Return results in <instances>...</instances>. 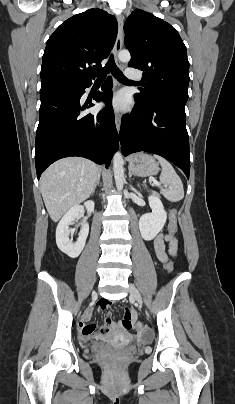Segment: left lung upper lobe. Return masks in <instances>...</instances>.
<instances>
[{
  "instance_id": "1",
  "label": "left lung upper lobe",
  "mask_w": 235,
  "mask_h": 404,
  "mask_svg": "<svg viewBox=\"0 0 235 404\" xmlns=\"http://www.w3.org/2000/svg\"><path fill=\"white\" fill-rule=\"evenodd\" d=\"M129 67L144 70L146 81L135 99L148 104L161 99L187 102L189 62L179 33L162 19L136 9L125 26Z\"/></svg>"
}]
</instances>
